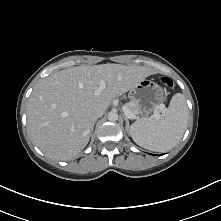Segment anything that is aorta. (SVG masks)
Returning a JSON list of instances; mask_svg holds the SVG:
<instances>
[{
	"instance_id": "obj_1",
	"label": "aorta",
	"mask_w": 221,
	"mask_h": 221,
	"mask_svg": "<svg viewBox=\"0 0 221 221\" xmlns=\"http://www.w3.org/2000/svg\"><path fill=\"white\" fill-rule=\"evenodd\" d=\"M108 120H109V121H112V122L117 121V120H118V114H117V112H115V111L109 112V113H108Z\"/></svg>"
}]
</instances>
